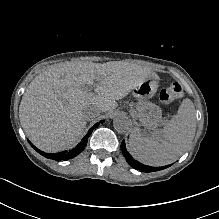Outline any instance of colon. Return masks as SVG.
Segmentation results:
<instances>
[{
  "label": "colon",
  "instance_id": "1",
  "mask_svg": "<svg viewBox=\"0 0 219 219\" xmlns=\"http://www.w3.org/2000/svg\"><path fill=\"white\" fill-rule=\"evenodd\" d=\"M183 97V88L179 83H173L162 89L159 93V99L163 104H169Z\"/></svg>",
  "mask_w": 219,
  "mask_h": 219
}]
</instances>
